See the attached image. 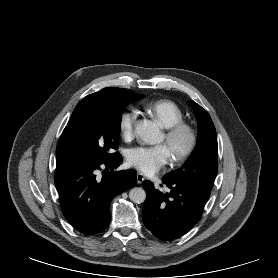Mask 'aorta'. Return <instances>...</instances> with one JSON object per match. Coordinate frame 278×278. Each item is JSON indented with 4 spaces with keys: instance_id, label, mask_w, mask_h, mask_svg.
<instances>
[{
    "instance_id": "1",
    "label": "aorta",
    "mask_w": 278,
    "mask_h": 278,
    "mask_svg": "<svg viewBox=\"0 0 278 278\" xmlns=\"http://www.w3.org/2000/svg\"><path fill=\"white\" fill-rule=\"evenodd\" d=\"M135 131L138 137L146 144H156L160 140V130L152 121H140L136 125ZM129 198L136 204L143 203L146 199V192L143 188L135 187L130 190Z\"/></svg>"
}]
</instances>
